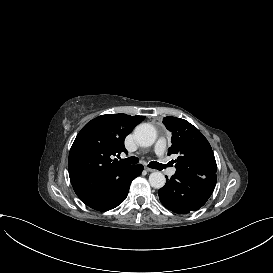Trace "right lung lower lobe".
<instances>
[{
    "instance_id": "1",
    "label": "right lung lower lobe",
    "mask_w": 273,
    "mask_h": 273,
    "mask_svg": "<svg viewBox=\"0 0 273 273\" xmlns=\"http://www.w3.org/2000/svg\"><path fill=\"white\" fill-rule=\"evenodd\" d=\"M142 171L143 166L141 164L132 165L129 170L113 177L109 181L104 195L88 206L98 211H107L117 207L127 197L132 180L139 176Z\"/></svg>"
}]
</instances>
